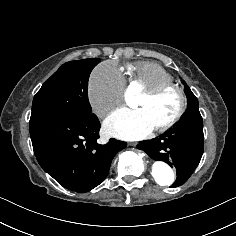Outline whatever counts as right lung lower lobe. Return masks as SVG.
Instances as JSON below:
<instances>
[{
  "label": "right lung lower lobe",
  "instance_id": "right-lung-lower-lobe-1",
  "mask_svg": "<svg viewBox=\"0 0 236 236\" xmlns=\"http://www.w3.org/2000/svg\"><path fill=\"white\" fill-rule=\"evenodd\" d=\"M100 122L95 114L59 115L30 124V136L40 166L63 187L78 193L99 185L126 142H96Z\"/></svg>",
  "mask_w": 236,
  "mask_h": 236
}]
</instances>
